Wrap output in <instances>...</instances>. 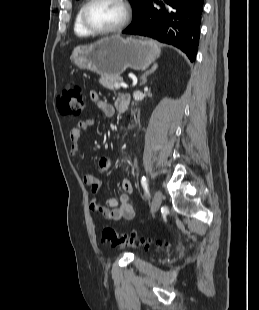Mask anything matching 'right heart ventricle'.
I'll return each mask as SVG.
<instances>
[{
  "label": "right heart ventricle",
  "mask_w": 259,
  "mask_h": 310,
  "mask_svg": "<svg viewBox=\"0 0 259 310\" xmlns=\"http://www.w3.org/2000/svg\"><path fill=\"white\" fill-rule=\"evenodd\" d=\"M83 5L78 9L75 18H74V24L73 29L77 36L79 37H89L91 34L83 27L81 23V10Z\"/></svg>",
  "instance_id": "obj_1"
}]
</instances>
